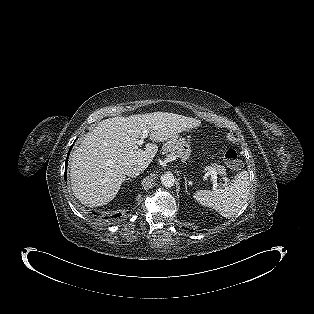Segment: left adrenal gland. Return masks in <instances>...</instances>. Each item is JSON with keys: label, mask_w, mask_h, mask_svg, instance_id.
Segmentation results:
<instances>
[{"label": "left adrenal gland", "mask_w": 314, "mask_h": 314, "mask_svg": "<svg viewBox=\"0 0 314 314\" xmlns=\"http://www.w3.org/2000/svg\"><path fill=\"white\" fill-rule=\"evenodd\" d=\"M184 180H185V182H184V183H185V192H186L187 194H189L187 187H188V185H191V183H190V182L188 183V180L186 179L185 176H184Z\"/></svg>", "instance_id": "1"}]
</instances>
